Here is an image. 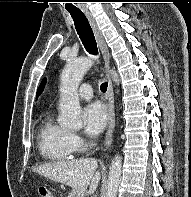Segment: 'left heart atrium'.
I'll use <instances>...</instances> for the list:
<instances>
[{
	"label": "left heart atrium",
	"instance_id": "left-heart-atrium-1",
	"mask_svg": "<svg viewBox=\"0 0 191 197\" xmlns=\"http://www.w3.org/2000/svg\"><path fill=\"white\" fill-rule=\"evenodd\" d=\"M84 129L90 136L99 134L107 122V110L100 102L87 105L82 112Z\"/></svg>",
	"mask_w": 191,
	"mask_h": 197
}]
</instances>
